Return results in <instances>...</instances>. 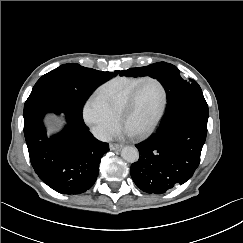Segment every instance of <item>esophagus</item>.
Wrapping results in <instances>:
<instances>
[{"label":"esophagus","mask_w":243,"mask_h":243,"mask_svg":"<svg viewBox=\"0 0 243 243\" xmlns=\"http://www.w3.org/2000/svg\"><path fill=\"white\" fill-rule=\"evenodd\" d=\"M122 145H120V144H115V143H113V144H110V149L111 150H121L122 149Z\"/></svg>","instance_id":"obj_1"}]
</instances>
